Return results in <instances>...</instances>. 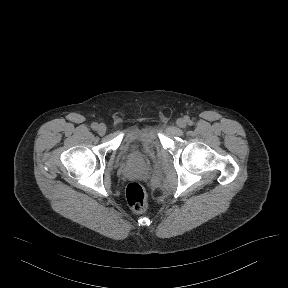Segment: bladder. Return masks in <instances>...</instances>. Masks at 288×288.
Instances as JSON below:
<instances>
[{"mask_svg":"<svg viewBox=\"0 0 288 288\" xmlns=\"http://www.w3.org/2000/svg\"><path fill=\"white\" fill-rule=\"evenodd\" d=\"M160 148L156 133L149 129H137L128 132L117 149V157L124 161H133L142 156L153 157Z\"/></svg>","mask_w":288,"mask_h":288,"instance_id":"1","label":"bladder"}]
</instances>
